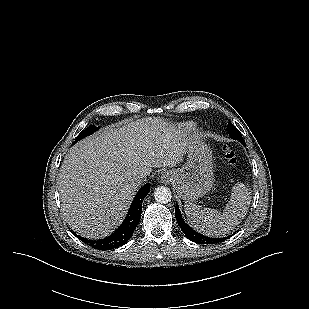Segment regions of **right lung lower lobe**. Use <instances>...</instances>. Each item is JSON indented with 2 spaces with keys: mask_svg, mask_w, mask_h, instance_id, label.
<instances>
[{
  "mask_svg": "<svg viewBox=\"0 0 309 309\" xmlns=\"http://www.w3.org/2000/svg\"><path fill=\"white\" fill-rule=\"evenodd\" d=\"M149 191L150 184L147 183L139 190V192L135 196L127 213V216L125 217L121 226L109 237L100 240H89L81 237L80 235H76L74 233L73 234L78 237L82 242L99 250H111L124 245L131 238L135 228L139 223L142 212V201L144 197L149 193Z\"/></svg>",
  "mask_w": 309,
  "mask_h": 309,
  "instance_id": "1",
  "label": "right lung lower lobe"
}]
</instances>
